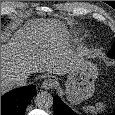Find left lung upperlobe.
Segmentation results:
<instances>
[{"label":"left lung upper lobe","instance_id":"left-lung-upper-lobe-1","mask_svg":"<svg viewBox=\"0 0 115 115\" xmlns=\"http://www.w3.org/2000/svg\"><path fill=\"white\" fill-rule=\"evenodd\" d=\"M108 56L111 58H115V41H114V44L112 45L111 50L108 53Z\"/></svg>","mask_w":115,"mask_h":115}]
</instances>
